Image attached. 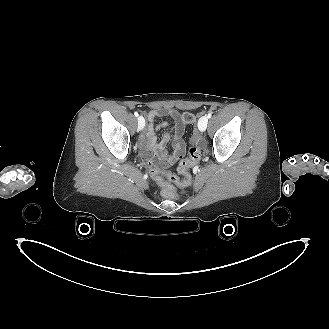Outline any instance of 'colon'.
<instances>
[{
  "label": "colon",
  "instance_id": "1",
  "mask_svg": "<svg viewBox=\"0 0 329 329\" xmlns=\"http://www.w3.org/2000/svg\"><path fill=\"white\" fill-rule=\"evenodd\" d=\"M181 119L185 124H192L195 122L196 117L191 112H184ZM201 156V151L196 146H191L188 150L186 159L179 162L177 166V174L171 173L164 168H155L152 170L151 175L154 181L159 182L163 190L161 196L165 200L176 202L179 200V193L174 190L172 182L179 186H187L191 182L190 169L197 164ZM172 181V182H171Z\"/></svg>",
  "mask_w": 329,
  "mask_h": 329
}]
</instances>
